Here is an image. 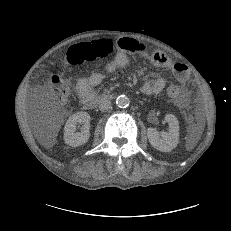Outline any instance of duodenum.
Masks as SVG:
<instances>
[{"label": "duodenum", "instance_id": "410a0bca", "mask_svg": "<svg viewBox=\"0 0 231 231\" xmlns=\"http://www.w3.org/2000/svg\"><path fill=\"white\" fill-rule=\"evenodd\" d=\"M114 98L112 94H102L98 96L96 99H90L83 102L86 109H93L97 104L102 103L107 100H111Z\"/></svg>", "mask_w": 231, "mask_h": 231}]
</instances>
